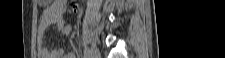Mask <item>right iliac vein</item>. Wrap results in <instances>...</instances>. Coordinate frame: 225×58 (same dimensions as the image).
Segmentation results:
<instances>
[{
	"instance_id": "right-iliac-vein-1",
	"label": "right iliac vein",
	"mask_w": 225,
	"mask_h": 58,
	"mask_svg": "<svg viewBox=\"0 0 225 58\" xmlns=\"http://www.w3.org/2000/svg\"><path fill=\"white\" fill-rule=\"evenodd\" d=\"M89 50V58H100L98 49L95 46H91Z\"/></svg>"
}]
</instances>
